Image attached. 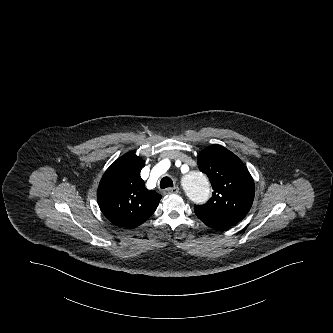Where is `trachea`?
Here are the masks:
<instances>
[{"mask_svg": "<svg viewBox=\"0 0 333 333\" xmlns=\"http://www.w3.org/2000/svg\"><path fill=\"white\" fill-rule=\"evenodd\" d=\"M168 187H173V181L169 177H164L160 181V188L165 189Z\"/></svg>", "mask_w": 333, "mask_h": 333, "instance_id": "3493384b", "label": "trachea"}]
</instances>
